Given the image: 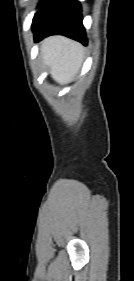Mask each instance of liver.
<instances>
[{
  "label": "liver",
  "mask_w": 134,
  "mask_h": 281,
  "mask_svg": "<svg viewBox=\"0 0 134 281\" xmlns=\"http://www.w3.org/2000/svg\"><path fill=\"white\" fill-rule=\"evenodd\" d=\"M41 53L51 77L59 84L72 81L82 65V45L62 36L45 39Z\"/></svg>",
  "instance_id": "6515ba94"
}]
</instances>
